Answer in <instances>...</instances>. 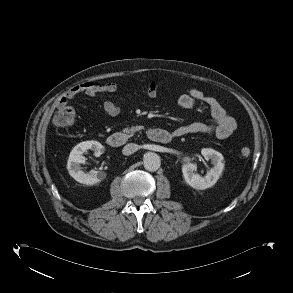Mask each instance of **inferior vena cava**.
I'll list each match as a JSON object with an SVG mask.
<instances>
[{
  "instance_id": "obj_1",
  "label": "inferior vena cava",
  "mask_w": 293,
  "mask_h": 293,
  "mask_svg": "<svg viewBox=\"0 0 293 293\" xmlns=\"http://www.w3.org/2000/svg\"><path fill=\"white\" fill-rule=\"evenodd\" d=\"M139 149V146L135 143H129L124 146L122 153L124 155H131Z\"/></svg>"
}]
</instances>
